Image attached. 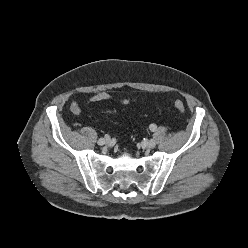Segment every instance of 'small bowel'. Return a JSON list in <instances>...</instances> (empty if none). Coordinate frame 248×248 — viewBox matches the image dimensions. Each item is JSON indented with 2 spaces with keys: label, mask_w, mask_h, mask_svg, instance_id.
Here are the masks:
<instances>
[{
  "label": "small bowel",
  "mask_w": 248,
  "mask_h": 248,
  "mask_svg": "<svg viewBox=\"0 0 248 248\" xmlns=\"http://www.w3.org/2000/svg\"><path fill=\"white\" fill-rule=\"evenodd\" d=\"M112 97L110 94L104 91L96 92L94 93L89 99L88 103L98 102V101H107L110 100ZM133 99L130 98H124L120 101L122 105H128ZM71 111L74 115H78L80 112V109L76 103L71 104Z\"/></svg>",
  "instance_id": "small-bowel-1"
}]
</instances>
